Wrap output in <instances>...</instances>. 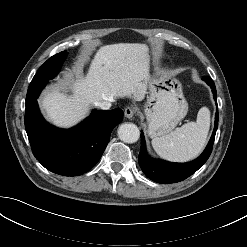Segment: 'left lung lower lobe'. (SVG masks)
Listing matches in <instances>:
<instances>
[{"label":"left lung lower lobe","instance_id":"left-lung-lower-lobe-1","mask_svg":"<svg viewBox=\"0 0 247 247\" xmlns=\"http://www.w3.org/2000/svg\"><path fill=\"white\" fill-rule=\"evenodd\" d=\"M203 80L211 87L213 98L217 104L216 87L213 80L210 77L206 76L203 77ZM217 128L218 109L215 115V127L209 143L207 144L203 153L197 159L188 163H171L151 158L147 154L145 138L141 134V149L138 159L142 171L148 178L161 184L180 182L188 178L189 176L194 174L209 158L212 152Z\"/></svg>","mask_w":247,"mask_h":247}]
</instances>
